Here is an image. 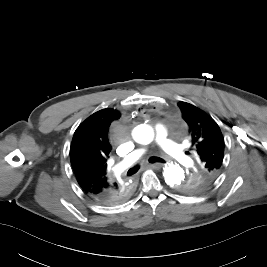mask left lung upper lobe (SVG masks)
<instances>
[{
	"instance_id": "1",
	"label": "left lung upper lobe",
	"mask_w": 267,
	"mask_h": 267,
	"mask_svg": "<svg viewBox=\"0 0 267 267\" xmlns=\"http://www.w3.org/2000/svg\"><path fill=\"white\" fill-rule=\"evenodd\" d=\"M178 106L189 127L192 147L200 158L197 168L180 189L185 194L200 193L209 188L221 172L224 139L217 123L205 112L186 102H179Z\"/></svg>"
}]
</instances>
